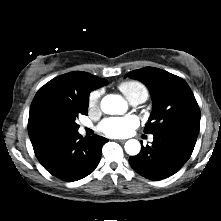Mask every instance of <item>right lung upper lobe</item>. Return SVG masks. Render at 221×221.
<instances>
[{
	"label": "right lung upper lobe",
	"mask_w": 221,
	"mask_h": 221,
	"mask_svg": "<svg viewBox=\"0 0 221 221\" xmlns=\"http://www.w3.org/2000/svg\"><path fill=\"white\" fill-rule=\"evenodd\" d=\"M107 84L106 79L76 71L58 76L41 87L31 104L28 120L35 155H40L58 138L71 134L64 123L51 115L53 109L68 105L88 106L89 93Z\"/></svg>",
	"instance_id": "cb5924a9"
}]
</instances>
